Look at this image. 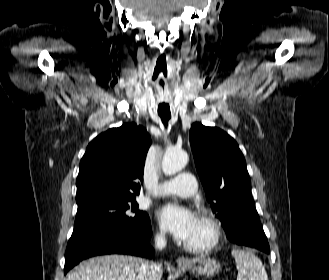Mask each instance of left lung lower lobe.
I'll list each match as a JSON object with an SVG mask.
<instances>
[{
    "label": "left lung lower lobe",
    "mask_w": 329,
    "mask_h": 280,
    "mask_svg": "<svg viewBox=\"0 0 329 280\" xmlns=\"http://www.w3.org/2000/svg\"><path fill=\"white\" fill-rule=\"evenodd\" d=\"M227 237L238 245H245L270 252L269 244L260 223L254 202L250 204L247 213L237 222L225 228Z\"/></svg>",
    "instance_id": "obj_1"
}]
</instances>
